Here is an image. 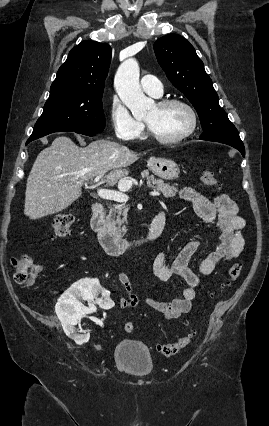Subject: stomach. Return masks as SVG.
I'll use <instances>...</instances> for the list:
<instances>
[{"mask_svg":"<svg viewBox=\"0 0 269 426\" xmlns=\"http://www.w3.org/2000/svg\"><path fill=\"white\" fill-rule=\"evenodd\" d=\"M147 165L155 175L166 180L176 179L180 173L178 165L170 159L151 157Z\"/></svg>","mask_w":269,"mask_h":426,"instance_id":"obj_1","label":"stomach"}]
</instances>
